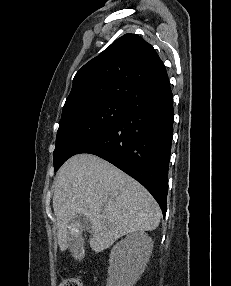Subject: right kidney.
<instances>
[{
  "label": "right kidney",
  "mask_w": 231,
  "mask_h": 286,
  "mask_svg": "<svg viewBox=\"0 0 231 286\" xmlns=\"http://www.w3.org/2000/svg\"><path fill=\"white\" fill-rule=\"evenodd\" d=\"M153 241L144 231L129 234L110 254L106 286H134L144 272Z\"/></svg>",
  "instance_id": "ca27d5eb"
}]
</instances>
